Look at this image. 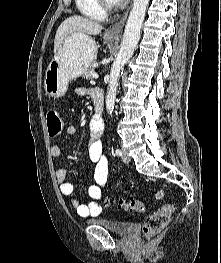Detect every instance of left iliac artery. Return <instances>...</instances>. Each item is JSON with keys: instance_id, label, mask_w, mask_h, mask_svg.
Segmentation results:
<instances>
[{"instance_id": "44dca946", "label": "left iliac artery", "mask_w": 221, "mask_h": 263, "mask_svg": "<svg viewBox=\"0 0 221 263\" xmlns=\"http://www.w3.org/2000/svg\"><path fill=\"white\" fill-rule=\"evenodd\" d=\"M115 153H116L117 156H121L122 155V151L120 149H117L115 151Z\"/></svg>"}]
</instances>
